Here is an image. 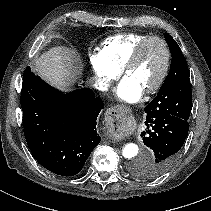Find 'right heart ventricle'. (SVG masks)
Here are the masks:
<instances>
[{"label": "right heart ventricle", "mask_w": 211, "mask_h": 211, "mask_svg": "<svg viewBox=\"0 0 211 211\" xmlns=\"http://www.w3.org/2000/svg\"><path fill=\"white\" fill-rule=\"evenodd\" d=\"M143 33H122L106 38L100 52L113 66L122 69L135 46L146 37Z\"/></svg>", "instance_id": "obj_1"}]
</instances>
